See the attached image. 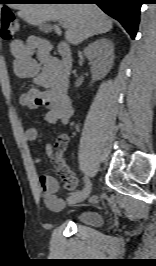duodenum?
<instances>
[{
  "mask_svg": "<svg viewBox=\"0 0 156 266\" xmlns=\"http://www.w3.org/2000/svg\"><path fill=\"white\" fill-rule=\"evenodd\" d=\"M43 50L49 54L50 48L48 45H44ZM58 54L59 60L56 62L57 74L60 80L67 84L72 68V52L68 43L61 42L58 45Z\"/></svg>",
  "mask_w": 156,
  "mask_h": 266,
  "instance_id": "410a0bca",
  "label": "duodenum"
}]
</instances>
